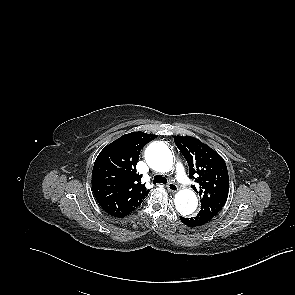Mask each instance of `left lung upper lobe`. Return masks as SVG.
I'll list each match as a JSON object with an SVG mask.
<instances>
[{"mask_svg":"<svg viewBox=\"0 0 295 295\" xmlns=\"http://www.w3.org/2000/svg\"><path fill=\"white\" fill-rule=\"evenodd\" d=\"M189 166V177L198 183L191 187L201 198L200 212L217 214L229 192V176L224 159L200 140L190 136L174 138ZM197 178H195V177Z\"/></svg>","mask_w":295,"mask_h":295,"instance_id":"5c2ea615","label":"left lung upper lobe"}]
</instances>
